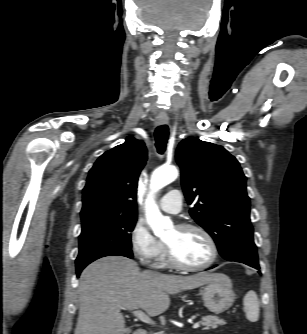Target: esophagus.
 Returning <instances> with one entry per match:
<instances>
[{"instance_id":"34e87169","label":"esophagus","mask_w":307,"mask_h":334,"mask_svg":"<svg viewBox=\"0 0 307 334\" xmlns=\"http://www.w3.org/2000/svg\"><path fill=\"white\" fill-rule=\"evenodd\" d=\"M168 123H169V118L167 115H160L155 120L156 125H166Z\"/></svg>"}]
</instances>
